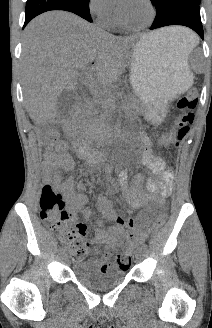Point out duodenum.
<instances>
[{"mask_svg":"<svg viewBox=\"0 0 212 328\" xmlns=\"http://www.w3.org/2000/svg\"><path fill=\"white\" fill-rule=\"evenodd\" d=\"M82 95L85 98H90L93 96L92 90L84 86L82 87ZM78 113V109H75L64 121V128L67 132L73 131V122ZM73 150L81 158L88 160L89 162H98L100 160V155L95 151L90 145L76 139L73 143Z\"/></svg>","mask_w":212,"mask_h":328,"instance_id":"duodenum-1","label":"duodenum"}]
</instances>
